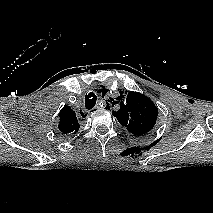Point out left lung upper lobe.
Returning <instances> with one entry per match:
<instances>
[{"label": "left lung upper lobe", "mask_w": 213, "mask_h": 213, "mask_svg": "<svg viewBox=\"0 0 213 213\" xmlns=\"http://www.w3.org/2000/svg\"><path fill=\"white\" fill-rule=\"evenodd\" d=\"M113 103L120 105L118 111H112L113 115L130 133L141 136L153 129L158 117V108L145 95L134 91H121Z\"/></svg>", "instance_id": "1"}]
</instances>
